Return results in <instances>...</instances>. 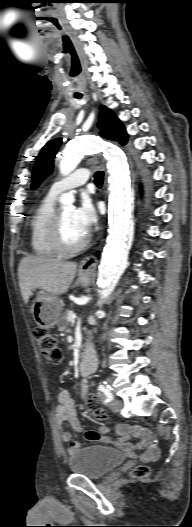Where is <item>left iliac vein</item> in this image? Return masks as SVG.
I'll use <instances>...</instances> for the list:
<instances>
[{"label":"left iliac vein","mask_w":192,"mask_h":527,"mask_svg":"<svg viewBox=\"0 0 192 527\" xmlns=\"http://www.w3.org/2000/svg\"><path fill=\"white\" fill-rule=\"evenodd\" d=\"M122 407H123V403L120 400H114L111 403V409L115 413H119L121 411Z\"/></svg>","instance_id":"obj_1"}]
</instances>
